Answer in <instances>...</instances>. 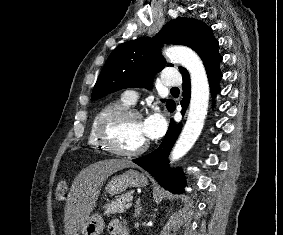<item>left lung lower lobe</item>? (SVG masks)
<instances>
[{
    "label": "left lung lower lobe",
    "instance_id": "left-lung-lower-lobe-1",
    "mask_svg": "<svg viewBox=\"0 0 283 235\" xmlns=\"http://www.w3.org/2000/svg\"><path fill=\"white\" fill-rule=\"evenodd\" d=\"M212 95L215 96L219 92V81L222 74L219 69V63L206 70ZM190 100V77L189 75L183 78V100L181 106L183 107L182 114H184ZM175 109V104L170 112ZM182 124L176 125L171 121L169 129L160 144V146L152 153L132 160L137 165L148 171L155 177L156 181L165 189L173 193H182L184 191L185 177L180 168L170 169L167 158L168 155L181 131Z\"/></svg>",
    "mask_w": 283,
    "mask_h": 235
}]
</instances>
